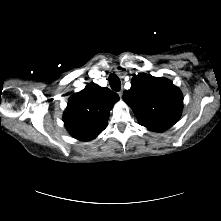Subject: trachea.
I'll return each instance as SVG.
<instances>
[{
    "instance_id": "1",
    "label": "trachea",
    "mask_w": 221,
    "mask_h": 221,
    "mask_svg": "<svg viewBox=\"0 0 221 221\" xmlns=\"http://www.w3.org/2000/svg\"><path fill=\"white\" fill-rule=\"evenodd\" d=\"M109 80V84L110 87L114 90V91H119L121 88V82L120 79L117 75L115 74H111L108 78Z\"/></svg>"
}]
</instances>
